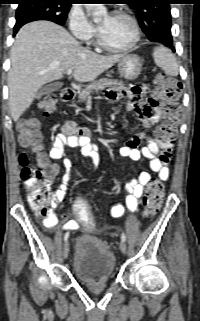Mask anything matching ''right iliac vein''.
Listing matches in <instances>:
<instances>
[{
    "label": "right iliac vein",
    "instance_id": "1",
    "mask_svg": "<svg viewBox=\"0 0 200 321\" xmlns=\"http://www.w3.org/2000/svg\"><path fill=\"white\" fill-rule=\"evenodd\" d=\"M69 253V242L66 241L63 247V255L66 258L68 256Z\"/></svg>",
    "mask_w": 200,
    "mask_h": 321
}]
</instances>
